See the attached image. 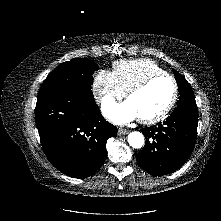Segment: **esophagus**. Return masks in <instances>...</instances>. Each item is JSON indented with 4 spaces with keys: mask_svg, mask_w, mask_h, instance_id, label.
<instances>
[{
    "mask_svg": "<svg viewBox=\"0 0 221 221\" xmlns=\"http://www.w3.org/2000/svg\"><path fill=\"white\" fill-rule=\"evenodd\" d=\"M128 133L127 129L119 128L118 129V135H125Z\"/></svg>",
    "mask_w": 221,
    "mask_h": 221,
    "instance_id": "1",
    "label": "esophagus"
}]
</instances>
